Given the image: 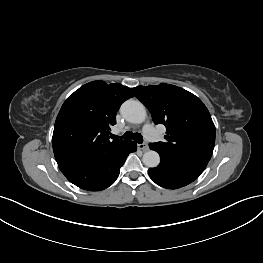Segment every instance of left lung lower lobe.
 <instances>
[{"instance_id": "1", "label": "left lung lower lobe", "mask_w": 263, "mask_h": 263, "mask_svg": "<svg viewBox=\"0 0 263 263\" xmlns=\"http://www.w3.org/2000/svg\"><path fill=\"white\" fill-rule=\"evenodd\" d=\"M203 172L202 169L178 164L161 157L158 167L148 170L150 178L159 186L177 189L196 180Z\"/></svg>"}]
</instances>
